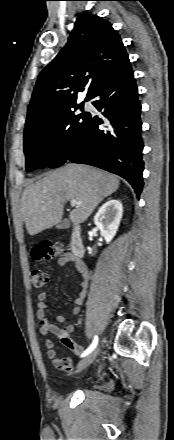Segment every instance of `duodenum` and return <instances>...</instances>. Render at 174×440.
<instances>
[{
  "label": "duodenum",
  "mask_w": 174,
  "mask_h": 440,
  "mask_svg": "<svg viewBox=\"0 0 174 440\" xmlns=\"http://www.w3.org/2000/svg\"><path fill=\"white\" fill-rule=\"evenodd\" d=\"M70 249L76 258H82L85 254V246L82 238L81 227L76 225L70 237Z\"/></svg>",
  "instance_id": "obj_1"
}]
</instances>
